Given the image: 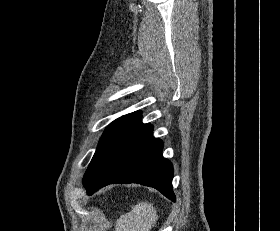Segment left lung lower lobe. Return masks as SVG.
<instances>
[{
    "instance_id": "obj_1",
    "label": "left lung lower lobe",
    "mask_w": 280,
    "mask_h": 231,
    "mask_svg": "<svg viewBox=\"0 0 280 231\" xmlns=\"http://www.w3.org/2000/svg\"><path fill=\"white\" fill-rule=\"evenodd\" d=\"M141 119L112 136L92 159L83 185L88 195L109 184L139 183L154 187L175 202L173 167L163 158V142Z\"/></svg>"
}]
</instances>
